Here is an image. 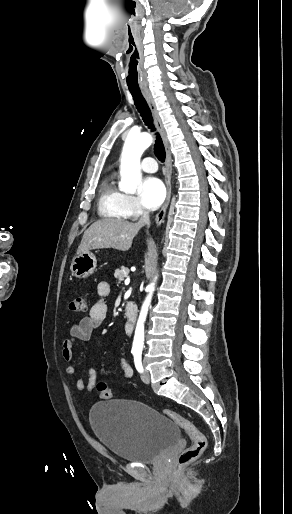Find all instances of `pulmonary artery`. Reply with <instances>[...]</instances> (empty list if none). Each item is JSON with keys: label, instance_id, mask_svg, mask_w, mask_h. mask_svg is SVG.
<instances>
[{"label": "pulmonary artery", "instance_id": "obj_1", "mask_svg": "<svg viewBox=\"0 0 292 514\" xmlns=\"http://www.w3.org/2000/svg\"><path fill=\"white\" fill-rule=\"evenodd\" d=\"M142 169L144 172H156L158 164L155 157L147 156L143 160Z\"/></svg>", "mask_w": 292, "mask_h": 514}]
</instances>
